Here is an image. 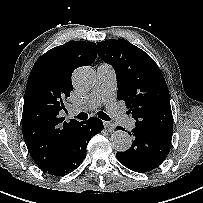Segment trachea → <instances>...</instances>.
I'll return each instance as SVG.
<instances>
[{"instance_id":"3493384b","label":"trachea","mask_w":203,"mask_h":203,"mask_svg":"<svg viewBox=\"0 0 203 203\" xmlns=\"http://www.w3.org/2000/svg\"><path fill=\"white\" fill-rule=\"evenodd\" d=\"M98 117L105 120V121H110L111 118L104 112L100 111L97 113ZM77 119L79 120H86L88 118V114L85 112H81L76 116Z\"/></svg>"}]
</instances>
